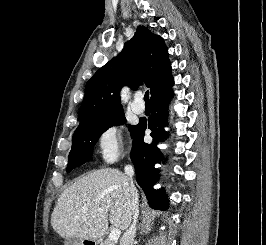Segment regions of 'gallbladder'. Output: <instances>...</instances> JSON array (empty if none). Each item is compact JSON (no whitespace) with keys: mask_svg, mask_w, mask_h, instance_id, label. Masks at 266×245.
I'll return each instance as SVG.
<instances>
[{"mask_svg":"<svg viewBox=\"0 0 266 245\" xmlns=\"http://www.w3.org/2000/svg\"><path fill=\"white\" fill-rule=\"evenodd\" d=\"M75 243L74 239H65V245H73Z\"/></svg>","mask_w":266,"mask_h":245,"instance_id":"1","label":"gallbladder"}]
</instances>
